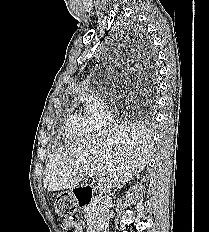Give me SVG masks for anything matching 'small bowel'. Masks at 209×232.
I'll use <instances>...</instances> for the list:
<instances>
[{
  "instance_id": "small-bowel-1",
  "label": "small bowel",
  "mask_w": 209,
  "mask_h": 232,
  "mask_svg": "<svg viewBox=\"0 0 209 232\" xmlns=\"http://www.w3.org/2000/svg\"><path fill=\"white\" fill-rule=\"evenodd\" d=\"M73 227L72 232H82L83 224L80 221H77L71 225Z\"/></svg>"
}]
</instances>
